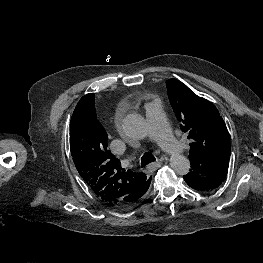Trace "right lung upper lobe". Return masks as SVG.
<instances>
[{"label": "right lung upper lobe", "mask_w": 263, "mask_h": 263, "mask_svg": "<svg viewBox=\"0 0 263 263\" xmlns=\"http://www.w3.org/2000/svg\"><path fill=\"white\" fill-rule=\"evenodd\" d=\"M107 146V133L96 116L94 94H87L76 105L70 122L74 164L84 182L108 206L132 207L151 178L121 169L120 161Z\"/></svg>", "instance_id": "cb5924a9"}]
</instances>
